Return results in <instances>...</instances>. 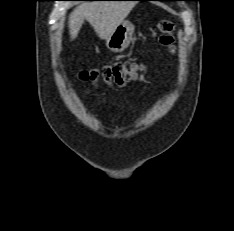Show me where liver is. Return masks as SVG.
I'll return each mask as SVG.
<instances>
[{
	"label": "liver",
	"instance_id": "obj_1",
	"mask_svg": "<svg viewBox=\"0 0 234 231\" xmlns=\"http://www.w3.org/2000/svg\"><path fill=\"white\" fill-rule=\"evenodd\" d=\"M135 2L132 1H96L82 3L69 15V31L74 40L84 23L88 21L101 39H107L128 16Z\"/></svg>",
	"mask_w": 234,
	"mask_h": 231
}]
</instances>
